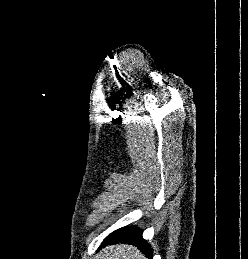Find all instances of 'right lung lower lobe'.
<instances>
[{
    "instance_id": "right-lung-lower-lobe-1",
    "label": "right lung lower lobe",
    "mask_w": 248,
    "mask_h": 259,
    "mask_svg": "<svg viewBox=\"0 0 248 259\" xmlns=\"http://www.w3.org/2000/svg\"><path fill=\"white\" fill-rule=\"evenodd\" d=\"M142 232L136 227H123L111 233L104 239L100 248L114 243H126L137 246L147 258L152 259V251L148 243L142 238Z\"/></svg>"
}]
</instances>
